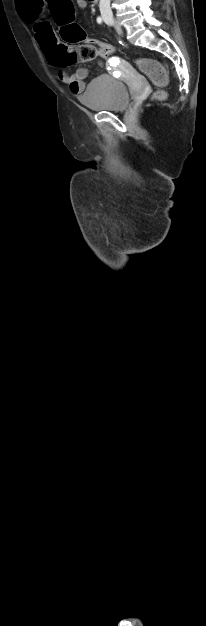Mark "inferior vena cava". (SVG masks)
<instances>
[{"label":"inferior vena cava","instance_id":"602c4592","mask_svg":"<svg viewBox=\"0 0 206 626\" xmlns=\"http://www.w3.org/2000/svg\"><path fill=\"white\" fill-rule=\"evenodd\" d=\"M99 8L102 16L112 17V11L110 8V0H100Z\"/></svg>","mask_w":206,"mask_h":626}]
</instances>
